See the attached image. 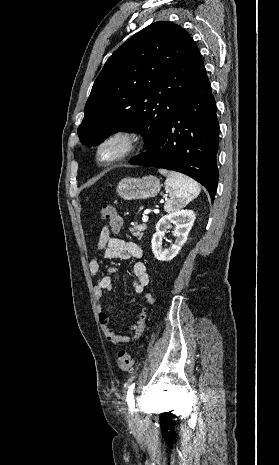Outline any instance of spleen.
Masks as SVG:
<instances>
[{
	"label": "spleen",
	"mask_w": 279,
	"mask_h": 465,
	"mask_svg": "<svg viewBox=\"0 0 279 465\" xmlns=\"http://www.w3.org/2000/svg\"><path fill=\"white\" fill-rule=\"evenodd\" d=\"M165 175V190L169 195V199L164 205L166 212L179 210L200 194V186L193 179L186 177L180 173L159 170Z\"/></svg>",
	"instance_id": "obj_1"
}]
</instances>
